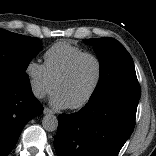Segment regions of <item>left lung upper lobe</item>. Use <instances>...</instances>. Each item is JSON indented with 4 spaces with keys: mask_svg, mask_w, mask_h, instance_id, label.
Instances as JSON below:
<instances>
[{
    "mask_svg": "<svg viewBox=\"0 0 156 156\" xmlns=\"http://www.w3.org/2000/svg\"><path fill=\"white\" fill-rule=\"evenodd\" d=\"M100 60L99 82L89 100L108 94L123 93L140 97L132 57L124 46L113 38L87 39Z\"/></svg>",
    "mask_w": 156,
    "mask_h": 156,
    "instance_id": "5c2ea615",
    "label": "left lung upper lobe"
}]
</instances>
